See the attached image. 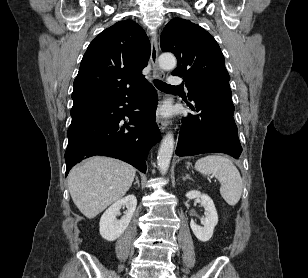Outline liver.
<instances>
[{"mask_svg":"<svg viewBox=\"0 0 308 278\" xmlns=\"http://www.w3.org/2000/svg\"><path fill=\"white\" fill-rule=\"evenodd\" d=\"M135 173V168L123 161L95 156L70 171L68 189L76 207L92 219L126 194Z\"/></svg>","mask_w":308,"mask_h":278,"instance_id":"liver-1","label":"liver"}]
</instances>
